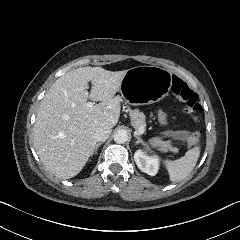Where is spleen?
Here are the masks:
<instances>
[{
  "label": "spleen",
  "instance_id": "spleen-1",
  "mask_svg": "<svg viewBox=\"0 0 240 240\" xmlns=\"http://www.w3.org/2000/svg\"><path fill=\"white\" fill-rule=\"evenodd\" d=\"M199 151L197 149L190 150L184 157L170 162L168 164L172 181H181L186 178L193 170Z\"/></svg>",
  "mask_w": 240,
  "mask_h": 240
}]
</instances>
